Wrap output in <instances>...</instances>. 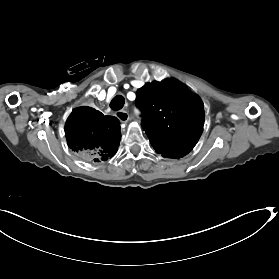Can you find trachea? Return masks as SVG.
I'll list each match as a JSON object with an SVG mask.
<instances>
[{"mask_svg":"<svg viewBox=\"0 0 279 279\" xmlns=\"http://www.w3.org/2000/svg\"><path fill=\"white\" fill-rule=\"evenodd\" d=\"M125 98L122 95H116L111 103L110 108L114 111L120 110L124 107Z\"/></svg>","mask_w":279,"mask_h":279,"instance_id":"trachea-1","label":"trachea"}]
</instances>
